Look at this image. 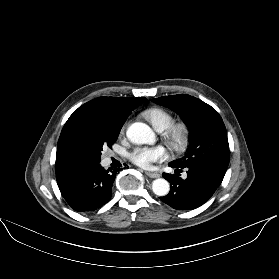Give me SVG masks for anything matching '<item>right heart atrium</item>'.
Segmentation results:
<instances>
[{
  "mask_svg": "<svg viewBox=\"0 0 279 279\" xmlns=\"http://www.w3.org/2000/svg\"><path fill=\"white\" fill-rule=\"evenodd\" d=\"M126 127H127V123L124 125V127H123V131L126 129Z\"/></svg>",
  "mask_w": 279,
  "mask_h": 279,
  "instance_id": "d8ad5b80",
  "label": "right heart atrium"
}]
</instances>
